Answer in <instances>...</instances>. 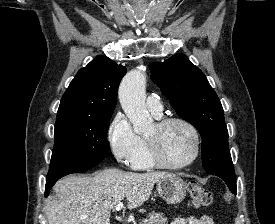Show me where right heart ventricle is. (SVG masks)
Wrapping results in <instances>:
<instances>
[{"label":"right heart ventricle","mask_w":275,"mask_h":224,"mask_svg":"<svg viewBox=\"0 0 275 224\" xmlns=\"http://www.w3.org/2000/svg\"><path fill=\"white\" fill-rule=\"evenodd\" d=\"M156 118H160V116L154 115ZM130 165L133 169L138 170H149L156 167V165L151 161L146 140L144 136L140 137V145L137 152L130 160Z\"/></svg>","instance_id":"1"}]
</instances>
